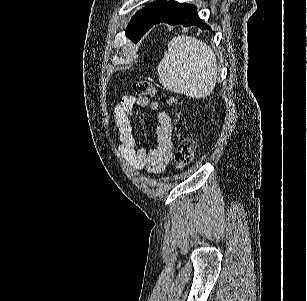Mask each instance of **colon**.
<instances>
[{
  "label": "colon",
  "instance_id": "obj_1",
  "mask_svg": "<svg viewBox=\"0 0 307 301\" xmlns=\"http://www.w3.org/2000/svg\"><path fill=\"white\" fill-rule=\"evenodd\" d=\"M134 92L143 97H153L156 93L152 83L146 80H138L133 83ZM171 105L175 104L174 100H169ZM195 142L191 137H183L179 140L175 153L174 165L176 168H184L189 165L195 154Z\"/></svg>",
  "mask_w": 307,
  "mask_h": 301
}]
</instances>
